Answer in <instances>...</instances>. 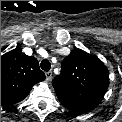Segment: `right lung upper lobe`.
<instances>
[{
	"label": "right lung upper lobe",
	"mask_w": 122,
	"mask_h": 122,
	"mask_svg": "<svg viewBox=\"0 0 122 122\" xmlns=\"http://www.w3.org/2000/svg\"><path fill=\"white\" fill-rule=\"evenodd\" d=\"M45 79L38 60L14 49L1 56V105L22 101L33 85Z\"/></svg>",
	"instance_id": "cb5924a9"
}]
</instances>
